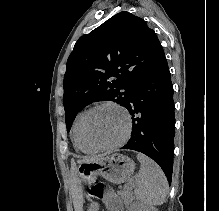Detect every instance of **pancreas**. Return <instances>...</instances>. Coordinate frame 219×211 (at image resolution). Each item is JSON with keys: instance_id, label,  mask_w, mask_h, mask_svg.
Returning <instances> with one entry per match:
<instances>
[{"instance_id": "pancreas-1", "label": "pancreas", "mask_w": 219, "mask_h": 211, "mask_svg": "<svg viewBox=\"0 0 219 211\" xmlns=\"http://www.w3.org/2000/svg\"><path fill=\"white\" fill-rule=\"evenodd\" d=\"M119 193L122 199H124L126 205H130V203H132L133 195L131 191L127 189V187H124V189H120Z\"/></svg>"}]
</instances>
